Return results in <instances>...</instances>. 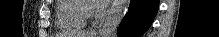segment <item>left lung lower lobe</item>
<instances>
[{"instance_id": "left-lung-lower-lobe-1", "label": "left lung lower lobe", "mask_w": 219, "mask_h": 37, "mask_svg": "<svg viewBox=\"0 0 219 37\" xmlns=\"http://www.w3.org/2000/svg\"><path fill=\"white\" fill-rule=\"evenodd\" d=\"M159 8V0H131L128 13L122 20L119 37H139L151 25Z\"/></svg>"}]
</instances>
